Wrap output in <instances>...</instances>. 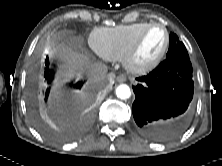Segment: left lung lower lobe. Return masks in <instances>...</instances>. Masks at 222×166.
<instances>
[{"mask_svg": "<svg viewBox=\"0 0 222 166\" xmlns=\"http://www.w3.org/2000/svg\"><path fill=\"white\" fill-rule=\"evenodd\" d=\"M192 64L187 57L164 60L146 76L136 78L133 117L141 133L153 140H168L188 125L194 93Z\"/></svg>", "mask_w": 222, "mask_h": 166, "instance_id": "0a47b994", "label": "left lung lower lobe"}]
</instances>
